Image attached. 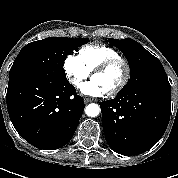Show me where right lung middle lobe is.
Returning a JSON list of instances; mask_svg holds the SVG:
<instances>
[{
	"label": "right lung middle lobe",
	"instance_id": "dd1d6c3e",
	"mask_svg": "<svg viewBox=\"0 0 178 178\" xmlns=\"http://www.w3.org/2000/svg\"><path fill=\"white\" fill-rule=\"evenodd\" d=\"M89 38L48 37L24 46L16 57L9 79L21 77H66L63 69L68 54Z\"/></svg>",
	"mask_w": 178,
	"mask_h": 178
}]
</instances>
